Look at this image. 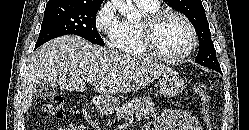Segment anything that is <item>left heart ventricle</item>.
I'll use <instances>...</instances> for the list:
<instances>
[{
	"label": "left heart ventricle",
	"mask_w": 249,
	"mask_h": 130,
	"mask_svg": "<svg viewBox=\"0 0 249 130\" xmlns=\"http://www.w3.org/2000/svg\"><path fill=\"white\" fill-rule=\"evenodd\" d=\"M155 39L157 46L163 53L175 56L188 47L190 33L182 20L168 16L159 23Z\"/></svg>",
	"instance_id": "left-heart-ventricle-1"
}]
</instances>
